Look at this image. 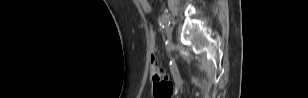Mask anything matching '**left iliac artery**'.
Instances as JSON below:
<instances>
[{
  "mask_svg": "<svg viewBox=\"0 0 308 98\" xmlns=\"http://www.w3.org/2000/svg\"><path fill=\"white\" fill-rule=\"evenodd\" d=\"M159 24L162 26V27H166V26H169L170 24V18L167 14H163L160 19H159Z\"/></svg>",
  "mask_w": 308,
  "mask_h": 98,
  "instance_id": "left-iliac-artery-1",
  "label": "left iliac artery"
}]
</instances>
